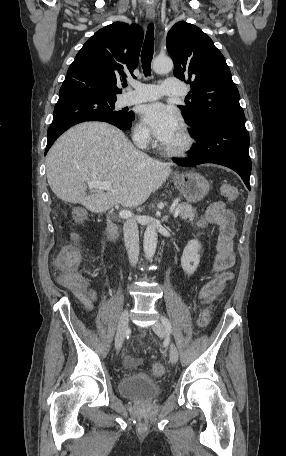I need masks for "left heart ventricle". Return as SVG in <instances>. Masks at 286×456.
I'll return each mask as SVG.
<instances>
[{
	"mask_svg": "<svg viewBox=\"0 0 286 456\" xmlns=\"http://www.w3.org/2000/svg\"><path fill=\"white\" fill-rule=\"evenodd\" d=\"M182 139H181V136H180V131H178V133L170 140L168 141L166 144H164L165 146H169V147H174V146H177L181 143Z\"/></svg>",
	"mask_w": 286,
	"mask_h": 456,
	"instance_id": "b2bd125f",
	"label": "left heart ventricle"
}]
</instances>
